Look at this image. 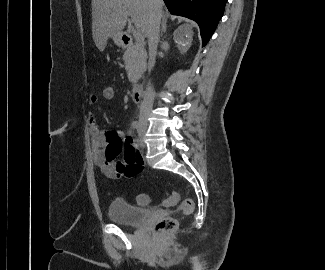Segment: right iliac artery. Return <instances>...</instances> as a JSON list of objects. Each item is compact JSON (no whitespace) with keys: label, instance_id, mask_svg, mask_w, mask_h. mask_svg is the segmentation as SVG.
I'll return each mask as SVG.
<instances>
[{"label":"right iliac artery","instance_id":"obj_1","mask_svg":"<svg viewBox=\"0 0 325 270\" xmlns=\"http://www.w3.org/2000/svg\"><path fill=\"white\" fill-rule=\"evenodd\" d=\"M132 127L136 128V129L139 128L140 127V122L139 121H133Z\"/></svg>","mask_w":325,"mask_h":270}]
</instances>
